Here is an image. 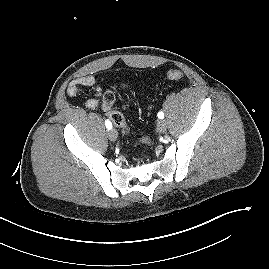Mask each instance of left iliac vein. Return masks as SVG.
Masks as SVG:
<instances>
[{"label": "left iliac vein", "instance_id": "1", "mask_svg": "<svg viewBox=\"0 0 269 269\" xmlns=\"http://www.w3.org/2000/svg\"><path fill=\"white\" fill-rule=\"evenodd\" d=\"M167 129V122L165 120H159L157 123V130L160 133H164Z\"/></svg>", "mask_w": 269, "mask_h": 269}]
</instances>
